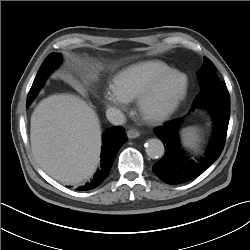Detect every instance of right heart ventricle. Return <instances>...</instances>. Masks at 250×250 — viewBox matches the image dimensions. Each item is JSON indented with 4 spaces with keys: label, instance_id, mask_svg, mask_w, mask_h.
<instances>
[{
    "label": "right heart ventricle",
    "instance_id": "right-heart-ventricle-1",
    "mask_svg": "<svg viewBox=\"0 0 250 250\" xmlns=\"http://www.w3.org/2000/svg\"><path fill=\"white\" fill-rule=\"evenodd\" d=\"M173 70L160 60H146L131 64L112 79V87L129 100H134L157 77Z\"/></svg>",
    "mask_w": 250,
    "mask_h": 250
}]
</instances>
